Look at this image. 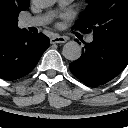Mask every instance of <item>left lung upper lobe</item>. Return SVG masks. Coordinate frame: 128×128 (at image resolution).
Segmentation results:
<instances>
[{"instance_id": "5c2ea615", "label": "left lung upper lobe", "mask_w": 128, "mask_h": 128, "mask_svg": "<svg viewBox=\"0 0 128 128\" xmlns=\"http://www.w3.org/2000/svg\"><path fill=\"white\" fill-rule=\"evenodd\" d=\"M89 5L74 28L93 36L128 37V0H88Z\"/></svg>"}]
</instances>
